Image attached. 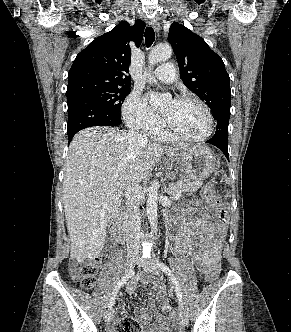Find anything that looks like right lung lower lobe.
<instances>
[{
	"label": "right lung lower lobe",
	"mask_w": 291,
	"mask_h": 332,
	"mask_svg": "<svg viewBox=\"0 0 291 332\" xmlns=\"http://www.w3.org/2000/svg\"><path fill=\"white\" fill-rule=\"evenodd\" d=\"M69 142L80 130L92 126H117L122 123L115 112L95 100L78 96L68 101Z\"/></svg>",
	"instance_id": "obj_1"
}]
</instances>
